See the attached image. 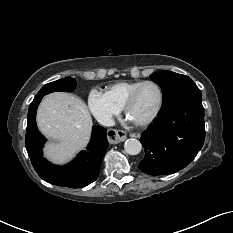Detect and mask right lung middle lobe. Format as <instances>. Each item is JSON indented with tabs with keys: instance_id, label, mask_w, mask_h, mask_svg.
<instances>
[{
	"instance_id": "right-lung-middle-lobe-1",
	"label": "right lung middle lobe",
	"mask_w": 233,
	"mask_h": 233,
	"mask_svg": "<svg viewBox=\"0 0 233 233\" xmlns=\"http://www.w3.org/2000/svg\"><path fill=\"white\" fill-rule=\"evenodd\" d=\"M76 86V81L74 78L67 77L64 79H59L44 85L36 96H44L54 91H72Z\"/></svg>"
}]
</instances>
